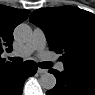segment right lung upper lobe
I'll return each instance as SVG.
<instances>
[{
	"label": "right lung upper lobe",
	"mask_w": 95,
	"mask_h": 95,
	"mask_svg": "<svg viewBox=\"0 0 95 95\" xmlns=\"http://www.w3.org/2000/svg\"><path fill=\"white\" fill-rule=\"evenodd\" d=\"M29 13L28 10L0 5V55L5 47L8 51L12 50L13 30L28 18ZM12 65L14 64L5 62L3 58H0V71Z\"/></svg>",
	"instance_id": "cb5924a9"
}]
</instances>
